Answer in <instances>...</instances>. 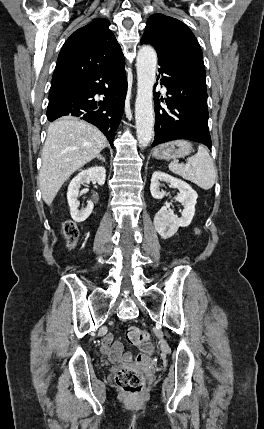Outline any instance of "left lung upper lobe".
Wrapping results in <instances>:
<instances>
[{"label": "left lung upper lobe", "mask_w": 264, "mask_h": 429, "mask_svg": "<svg viewBox=\"0 0 264 429\" xmlns=\"http://www.w3.org/2000/svg\"><path fill=\"white\" fill-rule=\"evenodd\" d=\"M141 39L150 43L157 52L183 64L199 80L206 83L200 45L184 23L163 14L151 15Z\"/></svg>", "instance_id": "obj_1"}]
</instances>
